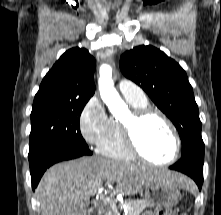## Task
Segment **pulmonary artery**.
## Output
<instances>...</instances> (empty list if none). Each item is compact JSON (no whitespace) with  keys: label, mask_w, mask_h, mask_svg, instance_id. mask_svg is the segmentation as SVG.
<instances>
[{"label":"pulmonary artery","mask_w":221,"mask_h":215,"mask_svg":"<svg viewBox=\"0 0 221 215\" xmlns=\"http://www.w3.org/2000/svg\"><path fill=\"white\" fill-rule=\"evenodd\" d=\"M119 90L126 99L135 101L146 100L143 91L131 81L121 80L119 82Z\"/></svg>","instance_id":"obj_1"}]
</instances>
